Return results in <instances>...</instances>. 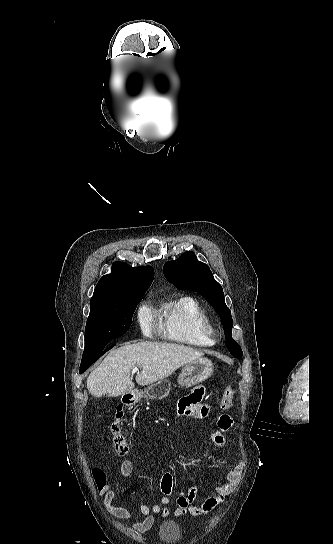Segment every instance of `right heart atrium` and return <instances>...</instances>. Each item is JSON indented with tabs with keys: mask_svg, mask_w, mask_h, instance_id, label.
<instances>
[{
	"mask_svg": "<svg viewBox=\"0 0 333 544\" xmlns=\"http://www.w3.org/2000/svg\"><path fill=\"white\" fill-rule=\"evenodd\" d=\"M138 319L142 330L145 333H149L152 327V317L146 307H142L139 310Z\"/></svg>",
	"mask_w": 333,
	"mask_h": 544,
	"instance_id": "obj_1",
	"label": "right heart atrium"
}]
</instances>
